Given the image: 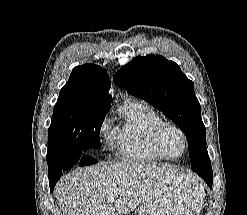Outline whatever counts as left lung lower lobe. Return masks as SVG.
Instances as JSON below:
<instances>
[{
	"label": "left lung lower lobe",
	"instance_id": "1",
	"mask_svg": "<svg viewBox=\"0 0 247 215\" xmlns=\"http://www.w3.org/2000/svg\"><path fill=\"white\" fill-rule=\"evenodd\" d=\"M192 170L196 172L202 179H204L208 186L212 188L213 172L209 158L203 159L201 163L192 167Z\"/></svg>",
	"mask_w": 247,
	"mask_h": 215
}]
</instances>
